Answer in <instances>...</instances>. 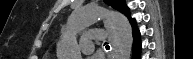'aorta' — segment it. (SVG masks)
Segmentation results:
<instances>
[{"instance_id":"aorta-1","label":"aorta","mask_w":193,"mask_h":59,"mask_svg":"<svg viewBox=\"0 0 193 59\" xmlns=\"http://www.w3.org/2000/svg\"><path fill=\"white\" fill-rule=\"evenodd\" d=\"M103 18L109 20L114 32V59H130L133 37L128 19L119 12L108 11L95 4L78 8L70 15L66 31L58 45V56L62 59H81L76 39L77 33Z\"/></svg>"}]
</instances>
